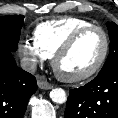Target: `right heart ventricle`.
Instances as JSON below:
<instances>
[{
	"label": "right heart ventricle",
	"mask_w": 118,
	"mask_h": 118,
	"mask_svg": "<svg viewBox=\"0 0 118 118\" xmlns=\"http://www.w3.org/2000/svg\"><path fill=\"white\" fill-rule=\"evenodd\" d=\"M92 25L79 17H62L39 24L33 33L38 48L51 58L56 50L78 29Z\"/></svg>",
	"instance_id": "e07e8e85"
}]
</instances>
